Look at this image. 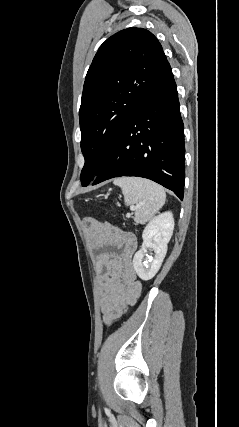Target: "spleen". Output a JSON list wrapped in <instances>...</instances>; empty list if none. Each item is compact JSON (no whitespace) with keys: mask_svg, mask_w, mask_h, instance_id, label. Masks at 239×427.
<instances>
[{"mask_svg":"<svg viewBox=\"0 0 239 427\" xmlns=\"http://www.w3.org/2000/svg\"><path fill=\"white\" fill-rule=\"evenodd\" d=\"M113 183L121 187L127 206L136 205L134 221L148 222L165 204L166 193L162 186L138 177L117 178Z\"/></svg>","mask_w":239,"mask_h":427,"instance_id":"obj_1","label":"spleen"}]
</instances>
